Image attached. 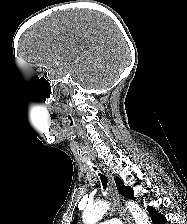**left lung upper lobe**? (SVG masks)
<instances>
[{
  "label": "left lung upper lobe",
  "mask_w": 187,
  "mask_h": 224,
  "mask_svg": "<svg viewBox=\"0 0 187 224\" xmlns=\"http://www.w3.org/2000/svg\"><path fill=\"white\" fill-rule=\"evenodd\" d=\"M115 182H116V186L118 191L126 198H132L133 197V190L132 188L128 187V186H124L122 180L118 177L115 178Z\"/></svg>",
  "instance_id": "1"
}]
</instances>
